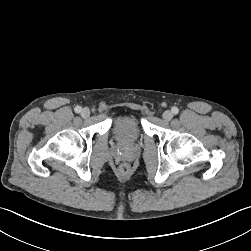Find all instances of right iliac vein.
Returning a JSON list of instances; mask_svg holds the SVG:
<instances>
[{"label": "right iliac vein", "instance_id": "obj_1", "mask_svg": "<svg viewBox=\"0 0 251 251\" xmlns=\"http://www.w3.org/2000/svg\"><path fill=\"white\" fill-rule=\"evenodd\" d=\"M81 116L83 118H87L90 116V110L89 108H83L82 111H81Z\"/></svg>", "mask_w": 251, "mask_h": 251}]
</instances>
